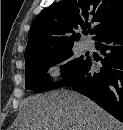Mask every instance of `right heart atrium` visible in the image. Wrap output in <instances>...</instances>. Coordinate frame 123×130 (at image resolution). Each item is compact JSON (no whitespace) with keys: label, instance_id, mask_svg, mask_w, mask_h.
<instances>
[{"label":"right heart atrium","instance_id":"1","mask_svg":"<svg viewBox=\"0 0 123 130\" xmlns=\"http://www.w3.org/2000/svg\"><path fill=\"white\" fill-rule=\"evenodd\" d=\"M50 73L53 77H58L60 74L59 68L57 66L51 67Z\"/></svg>","mask_w":123,"mask_h":130}]
</instances>
